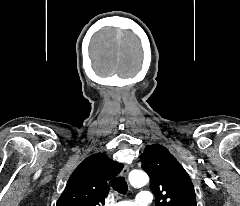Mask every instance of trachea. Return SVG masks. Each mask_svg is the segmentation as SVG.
Wrapping results in <instances>:
<instances>
[{"instance_id":"3493384b","label":"trachea","mask_w":240,"mask_h":206,"mask_svg":"<svg viewBox=\"0 0 240 206\" xmlns=\"http://www.w3.org/2000/svg\"><path fill=\"white\" fill-rule=\"evenodd\" d=\"M110 186L120 194H125L128 190L127 182L123 177H116L109 182Z\"/></svg>"}]
</instances>
